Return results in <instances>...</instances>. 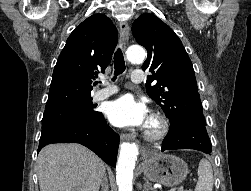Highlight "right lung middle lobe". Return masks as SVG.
<instances>
[{"label": "right lung middle lobe", "mask_w": 251, "mask_h": 191, "mask_svg": "<svg viewBox=\"0 0 251 191\" xmlns=\"http://www.w3.org/2000/svg\"><path fill=\"white\" fill-rule=\"evenodd\" d=\"M92 98L61 104L45 108L42 129L52 124L68 120V119H85L95 121L102 116L101 112L94 110Z\"/></svg>", "instance_id": "obj_1"}]
</instances>
